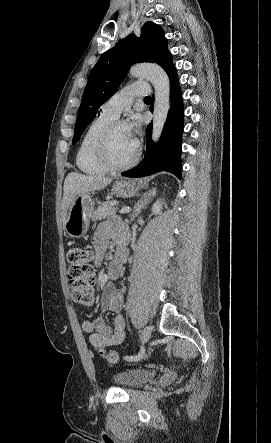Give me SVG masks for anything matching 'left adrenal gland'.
Wrapping results in <instances>:
<instances>
[{
  "instance_id": "left-adrenal-gland-1",
  "label": "left adrenal gland",
  "mask_w": 271,
  "mask_h": 443,
  "mask_svg": "<svg viewBox=\"0 0 271 443\" xmlns=\"http://www.w3.org/2000/svg\"><path fill=\"white\" fill-rule=\"evenodd\" d=\"M154 196H156V188L148 190L146 194H143L142 198H140L137 204H135L133 216H131V218H137L138 214H141V210H143L147 204H150L151 198H154Z\"/></svg>"
}]
</instances>
